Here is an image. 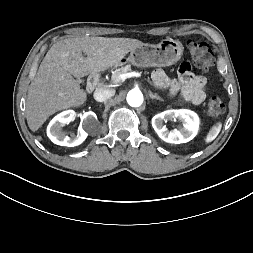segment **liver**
Here are the masks:
<instances>
[{"mask_svg": "<svg viewBox=\"0 0 253 253\" xmlns=\"http://www.w3.org/2000/svg\"><path fill=\"white\" fill-rule=\"evenodd\" d=\"M141 45L137 39L88 36L64 38L53 44L28 88L26 118L30 130L37 131L60 110L85 103L87 93L74 77L105 71Z\"/></svg>", "mask_w": 253, "mask_h": 253, "instance_id": "liver-1", "label": "liver"}]
</instances>
